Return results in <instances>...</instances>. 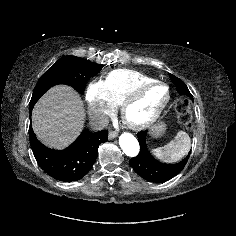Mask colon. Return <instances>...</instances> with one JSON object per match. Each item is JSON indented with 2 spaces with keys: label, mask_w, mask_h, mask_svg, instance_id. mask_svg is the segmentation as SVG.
I'll use <instances>...</instances> for the list:
<instances>
[{
  "label": "colon",
  "mask_w": 236,
  "mask_h": 236,
  "mask_svg": "<svg viewBox=\"0 0 236 236\" xmlns=\"http://www.w3.org/2000/svg\"><path fill=\"white\" fill-rule=\"evenodd\" d=\"M175 108L179 122L185 127H190L192 123V114L189 103L182 99L178 100Z\"/></svg>",
  "instance_id": "5ec220e1"
}]
</instances>
